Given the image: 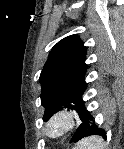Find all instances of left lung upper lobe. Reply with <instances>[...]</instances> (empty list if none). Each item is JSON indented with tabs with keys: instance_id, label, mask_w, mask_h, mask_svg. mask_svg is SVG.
I'll use <instances>...</instances> for the list:
<instances>
[{
	"instance_id": "1",
	"label": "left lung upper lobe",
	"mask_w": 124,
	"mask_h": 149,
	"mask_svg": "<svg viewBox=\"0 0 124 149\" xmlns=\"http://www.w3.org/2000/svg\"><path fill=\"white\" fill-rule=\"evenodd\" d=\"M86 49L77 35L62 39L52 48L40 74L45 121L62 107L75 109L83 122L88 117L82 98L87 86Z\"/></svg>"
}]
</instances>
